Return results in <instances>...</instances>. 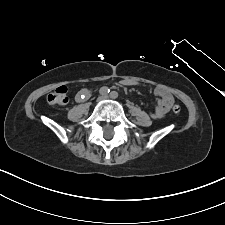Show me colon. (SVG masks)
<instances>
[{"mask_svg": "<svg viewBox=\"0 0 225 225\" xmlns=\"http://www.w3.org/2000/svg\"><path fill=\"white\" fill-rule=\"evenodd\" d=\"M47 100L50 104H66L68 102V90L65 85L57 87L52 93L47 97ZM172 111L176 114L181 112L180 105H174Z\"/></svg>", "mask_w": 225, "mask_h": 225, "instance_id": "colon-1", "label": "colon"}]
</instances>
